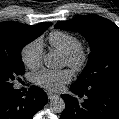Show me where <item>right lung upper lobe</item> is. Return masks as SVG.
Returning <instances> with one entry per match:
<instances>
[{
    "mask_svg": "<svg viewBox=\"0 0 119 119\" xmlns=\"http://www.w3.org/2000/svg\"><path fill=\"white\" fill-rule=\"evenodd\" d=\"M51 25H52V23H47V22L40 23V24L35 25V26H29L26 24H20V23H16V22L0 23V40L5 38L10 31L21 28V27L39 29V28H42L44 26H51Z\"/></svg>",
    "mask_w": 119,
    "mask_h": 119,
    "instance_id": "cb5924a9",
    "label": "right lung upper lobe"
}]
</instances>
